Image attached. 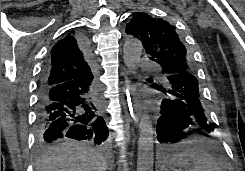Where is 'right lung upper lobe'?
<instances>
[{
  "mask_svg": "<svg viewBox=\"0 0 245 171\" xmlns=\"http://www.w3.org/2000/svg\"><path fill=\"white\" fill-rule=\"evenodd\" d=\"M45 66V85L89 77L93 72L92 64L80 46V36L75 31L68 33L52 47Z\"/></svg>",
  "mask_w": 245,
  "mask_h": 171,
  "instance_id": "obj_1",
  "label": "right lung upper lobe"
}]
</instances>
